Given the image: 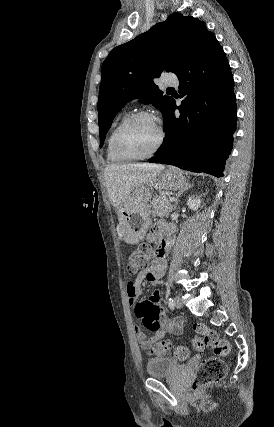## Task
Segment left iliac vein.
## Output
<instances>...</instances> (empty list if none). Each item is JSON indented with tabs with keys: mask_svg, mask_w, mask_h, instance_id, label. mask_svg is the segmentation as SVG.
I'll return each instance as SVG.
<instances>
[{
	"mask_svg": "<svg viewBox=\"0 0 274 427\" xmlns=\"http://www.w3.org/2000/svg\"><path fill=\"white\" fill-rule=\"evenodd\" d=\"M174 303H175V307L177 309H180V308L183 307V302H182V300H181V298L179 296H175Z\"/></svg>",
	"mask_w": 274,
	"mask_h": 427,
	"instance_id": "4c4485c4",
	"label": "left iliac vein"
}]
</instances>
